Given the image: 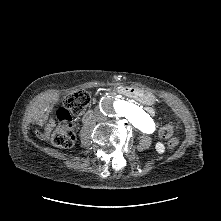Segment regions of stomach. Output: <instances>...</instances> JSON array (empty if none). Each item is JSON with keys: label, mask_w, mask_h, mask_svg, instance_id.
<instances>
[{"label": "stomach", "mask_w": 221, "mask_h": 221, "mask_svg": "<svg viewBox=\"0 0 221 221\" xmlns=\"http://www.w3.org/2000/svg\"><path fill=\"white\" fill-rule=\"evenodd\" d=\"M129 93L140 100H146L148 98H152L151 93L140 89L131 88L129 89Z\"/></svg>", "instance_id": "obj_1"}]
</instances>
